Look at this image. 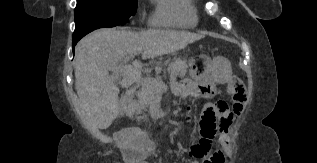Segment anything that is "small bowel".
Instances as JSON below:
<instances>
[{
  "instance_id": "small-bowel-1",
  "label": "small bowel",
  "mask_w": 317,
  "mask_h": 163,
  "mask_svg": "<svg viewBox=\"0 0 317 163\" xmlns=\"http://www.w3.org/2000/svg\"><path fill=\"white\" fill-rule=\"evenodd\" d=\"M217 82L214 79H209L199 86L192 82H185L182 84H175L173 86V93L180 99H184L193 93H197L201 98H212L216 90ZM245 89V88H244ZM246 92V91H245ZM246 98L234 105L233 111H230L226 105V109L220 117V124L218 137L216 133H203L200 130L201 136L197 143L193 144L189 149L190 163H225V153L222 147H225L230 142L229 132L233 127L234 122L241 117L245 108ZM190 110V108H188ZM134 131L128 130L120 140L128 142L134 138ZM220 146V147H218ZM128 163H136L135 160L127 158ZM176 163V162H174Z\"/></svg>"
}]
</instances>
